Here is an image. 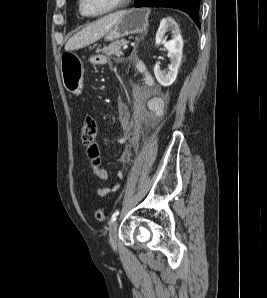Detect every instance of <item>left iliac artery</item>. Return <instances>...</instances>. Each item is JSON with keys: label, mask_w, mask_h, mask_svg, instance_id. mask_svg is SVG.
I'll return each instance as SVG.
<instances>
[{"label": "left iliac artery", "mask_w": 267, "mask_h": 298, "mask_svg": "<svg viewBox=\"0 0 267 298\" xmlns=\"http://www.w3.org/2000/svg\"><path fill=\"white\" fill-rule=\"evenodd\" d=\"M118 214H119V210H116L111 217V222L116 220Z\"/></svg>", "instance_id": "1"}]
</instances>
